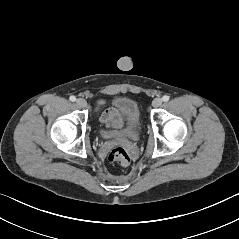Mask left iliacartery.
<instances>
[{"instance_id":"44dca946","label":"left iliac artery","mask_w":239,"mask_h":239,"mask_svg":"<svg viewBox=\"0 0 239 239\" xmlns=\"http://www.w3.org/2000/svg\"><path fill=\"white\" fill-rule=\"evenodd\" d=\"M169 96L168 95H164L163 97H162V100L164 101V102H167L168 100H169Z\"/></svg>"}]
</instances>
